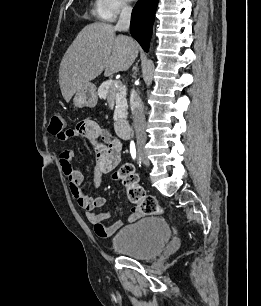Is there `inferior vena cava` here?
<instances>
[{
	"label": "inferior vena cava",
	"instance_id": "1",
	"mask_svg": "<svg viewBox=\"0 0 261 306\" xmlns=\"http://www.w3.org/2000/svg\"><path fill=\"white\" fill-rule=\"evenodd\" d=\"M131 19V7L124 3L121 7V13L119 20L115 26L117 31H128L130 27ZM130 106L133 116V123L136 133L144 135V126H145V116L143 110V104L138 93L132 89L130 95Z\"/></svg>",
	"mask_w": 261,
	"mask_h": 306
}]
</instances>
